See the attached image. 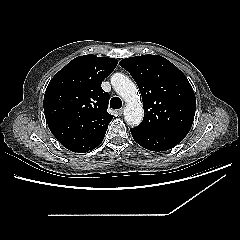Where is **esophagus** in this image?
Masks as SVG:
<instances>
[{
	"mask_svg": "<svg viewBox=\"0 0 240 240\" xmlns=\"http://www.w3.org/2000/svg\"><path fill=\"white\" fill-rule=\"evenodd\" d=\"M117 113H118L119 115H122V114H123V109L121 108V109L117 110Z\"/></svg>",
	"mask_w": 240,
	"mask_h": 240,
	"instance_id": "34e87169",
	"label": "esophagus"
}]
</instances>
